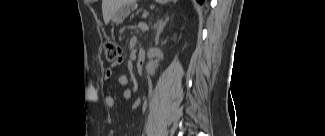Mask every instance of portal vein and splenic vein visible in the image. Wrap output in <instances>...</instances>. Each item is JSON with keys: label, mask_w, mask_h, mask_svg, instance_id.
Instances as JSON below:
<instances>
[{"label": "portal vein and splenic vein", "mask_w": 325, "mask_h": 136, "mask_svg": "<svg viewBox=\"0 0 325 136\" xmlns=\"http://www.w3.org/2000/svg\"><path fill=\"white\" fill-rule=\"evenodd\" d=\"M139 27H140L141 29H143V28H147V26H146L143 22H140V23H139Z\"/></svg>", "instance_id": "obj_1"}]
</instances>
